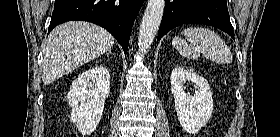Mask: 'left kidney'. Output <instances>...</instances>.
Returning <instances> with one entry per match:
<instances>
[{
  "instance_id": "left-kidney-1",
  "label": "left kidney",
  "mask_w": 280,
  "mask_h": 137,
  "mask_svg": "<svg viewBox=\"0 0 280 137\" xmlns=\"http://www.w3.org/2000/svg\"><path fill=\"white\" fill-rule=\"evenodd\" d=\"M190 81L197 89L193 96L184 91V84ZM170 82L180 125L187 133H198L210 120L214 107L208 81L193 71L177 66L171 73Z\"/></svg>"
}]
</instances>
